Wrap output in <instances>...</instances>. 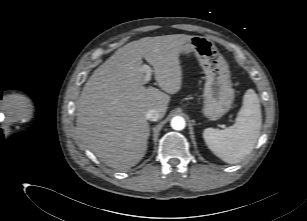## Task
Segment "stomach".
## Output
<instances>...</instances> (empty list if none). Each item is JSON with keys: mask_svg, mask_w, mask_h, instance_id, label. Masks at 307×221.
Returning a JSON list of instances; mask_svg holds the SVG:
<instances>
[{"mask_svg": "<svg viewBox=\"0 0 307 221\" xmlns=\"http://www.w3.org/2000/svg\"><path fill=\"white\" fill-rule=\"evenodd\" d=\"M189 52L196 55L206 75L202 113L209 120H218L234 102L229 66L214 43L206 37L191 36L182 53Z\"/></svg>", "mask_w": 307, "mask_h": 221, "instance_id": "0dacf381", "label": "stomach"}]
</instances>
